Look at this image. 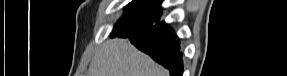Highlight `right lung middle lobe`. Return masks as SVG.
<instances>
[{"label":"right lung middle lobe","mask_w":287,"mask_h":76,"mask_svg":"<svg viewBox=\"0 0 287 76\" xmlns=\"http://www.w3.org/2000/svg\"><path fill=\"white\" fill-rule=\"evenodd\" d=\"M159 0H134L126 7L122 18L115 25L112 37L141 34L160 19Z\"/></svg>","instance_id":"right-lung-middle-lobe-1"}]
</instances>
